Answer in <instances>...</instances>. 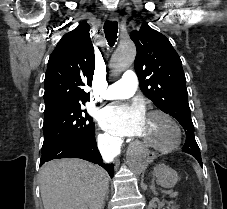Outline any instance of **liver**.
<instances>
[{"instance_id":"liver-1","label":"liver","mask_w":227,"mask_h":209,"mask_svg":"<svg viewBox=\"0 0 227 209\" xmlns=\"http://www.w3.org/2000/svg\"><path fill=\"white\" fill-rule=\"evenodd\" d=\"M44 209H102L109 177L98 165L82 159H55L41 167Z\"/></svg>"}]
</instances>
